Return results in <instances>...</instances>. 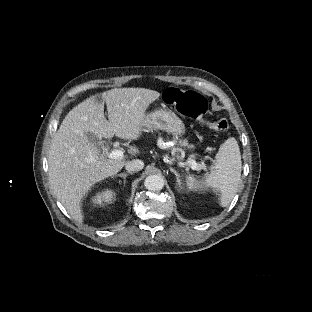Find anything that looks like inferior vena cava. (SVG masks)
Here are the masks:
<instances>
[{
	"label": "inferior vena cava",
	"instance_id": "602c4592",
	"mask_svg": "<svg viewBox=\"0 0 312 312\" xmlns=\"http://www.w3.org/2000/svg\"><path fill=\"white\" fill-rule=\"evenodd\" d=\"M144 167V162L141 160H132L125 164V168L128 172H139Z\"/></svg>",
	"mask_w": 312,
	"mask_h": 312
}]
</instances>
